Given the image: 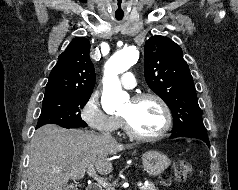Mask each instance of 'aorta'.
Returning <instances> with one entry per match:
<instances>
[{
    "instance_id": "aorta-1",
    "label": "aorta",
    "mask_w": 238,
    "mask_h": 190,
    "mask_svg": "<svg viewBox=\"0 0 238 190\" xmlns=\"http://www.w3.org/2000/svg\"><path fill=\"white\" fill-rule=\"evenodd\" d=\"M138 58L136 47L128 46L115 52L105 64L101 103L106 113L115 112L129 99L128 94L122 90L118 75L133 66Z\"/></svg>"
}]
</instances>
